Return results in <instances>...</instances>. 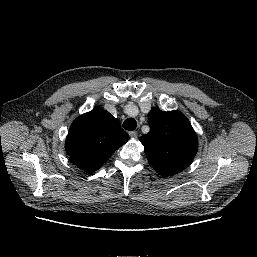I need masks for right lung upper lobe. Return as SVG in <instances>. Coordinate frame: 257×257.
I'll return each mask as SVG.
<instances>
[{
    "label": "right lung upper lobe",
    "instance_id": "obj_1",
    "mask_svg": "<svg viewBox=\"0 0 257 257\" xmlns=\"http://www.w3.org/2000/svg\"><path fill=\"white\" fill-rule=\"evenodd\" d=\"M128 140L117 119L106 110L95 108L74 120L65 150L76 166L91 172L102 167Z\"/></svg>",
    "mask_w": 257,
    "mask_h": 257
}]
</instances>
